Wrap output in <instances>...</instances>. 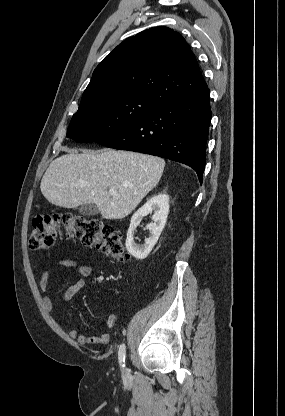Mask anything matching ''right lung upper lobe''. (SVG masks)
I'll list each match as a JSON object with an SVG mask.
<instances>
[{
  "mask_svg": "<svg viewBox=\"0 0 285 416\" xmlns=\"http://www.w3.org/2000/svg\"><path fill=\"white\" fill-rule=\"evenodd\" d=\"M207 87L185 39L156 27L118 45L94 70L79 109L136 96L159 106Z\"/></svg>",
  "mask_w": 285,
  "mask_h": 416,
  "instance_id": "obj_1",
  "label": "right lung upper lobe"
}]
</instances>
